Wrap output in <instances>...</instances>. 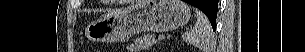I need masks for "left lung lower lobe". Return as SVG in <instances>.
I'll list each match as a JSON object with an SVG mask.
<instances>
[{
    "instance_id": "obj_1",
    "label": "left lung lower lobe",
    "mask_w": 305,
    "mask_h": 52,
    "mask_svg": "<svg viewBox=\"0 0 305 52\" xmlns=\"http://www.w3.org/2000/svg\"><path fill=\"white\" fill-rule=\"evenodd\" d=\"M195 7L199 8L204 12V9H214L218 8V0H185ZM216 25V24H215ZM215 25H212L213 30H215Z\"/></svg>"
}]
</instances>
